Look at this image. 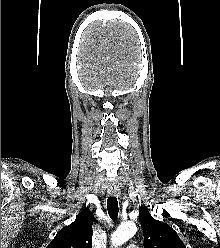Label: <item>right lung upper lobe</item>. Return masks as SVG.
I'll use <instances>...</instances> for the list:
<instances>
[{"label": "right lung upper lobe", "mask_w": 220, "mask_h": 248, "mask_svg": "<svg viewBox=\"0 0 220 248\" xmlns=\"http://www.w3.org/2000/svg\"><path fill=\"white\" fill-rule=\"evenodd\" d=\"M96 222L88 208L82 210L70 225L62 228L47 248H91L92 224Z\"/></svg>", "instance_id": "1"}]
</instances>
